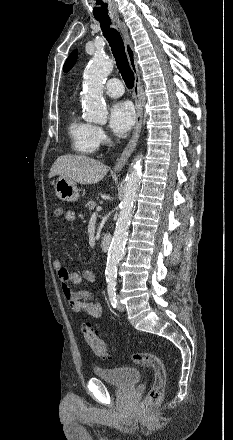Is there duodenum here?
Wrapping results in <instances>:
<instances>
[{"label":"duodenum","instance_id":"obj_1","mask_svg":"<svg viewBox=\"0 0 233 440\" xmlns=\"http://www.w3.org/2000/svg\"><path fill=\"white\" fill-rule=\"evenodd\" d=\"M112 237L110 234H104L100 239V246L103 251H107L110 247Z\"/></svg>","mask_w":233,"mask_h":440}]
</instances>
